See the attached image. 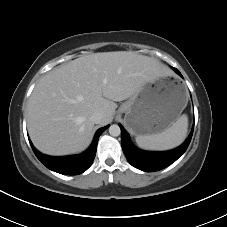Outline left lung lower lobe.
<instances>
[{
	"label": "left lung lower lobe",
	"mask_w": 227,
	"mask_h": 227,
	"mask_svg": "<svg viewBox=\"0 0 227 227\" xmlns=\"http://www.w3.org/2000/svg\"><path fill=\"white\" fill-rule=\"evenodd\" d=\"M173 69L181 76L176 68ZM120 128L122 149L129 163L142 171L154 172L166 168L183 155L191 141L194 125L189 137L180 147L165 152H148L137 149L131 143L128 133L121 125Z\"/></svg>",
	"instance_id": "0a47b994"
}]
</instances>
